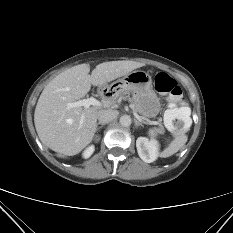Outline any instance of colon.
Listing matches in <instances>:
<instances>
[{"label": "colon", "instance_id": "1", "mask_svg": "<svg viewBox=\"0 0 233 233\" xmlns=\"http://www.w3.org/2000/svg\"><path fill=\"white\" fill-rule=\"evenodd\" d=\"M154 86L156 91L170 97L164 116L167 128L174 135L184 133L191 123V110L178 83L168 74L161 72L155 76Z\"/></svg>", "mask_w": 233, "mask_h": 233}]
</instances>
